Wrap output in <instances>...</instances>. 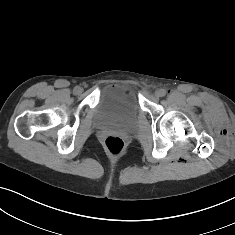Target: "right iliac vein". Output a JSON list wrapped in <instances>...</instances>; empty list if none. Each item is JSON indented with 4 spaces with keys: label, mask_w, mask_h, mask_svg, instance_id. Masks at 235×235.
<instances>
[{
    "label": "right iliac vein",
    "mask_w": 235,
    "mask_h": 235,
    "mask_svg": "<svg viewBox=\"0 0 235 235\" xmlns=\"http://www.w3.org/2000/svg\"><path fill=\"white\" fill-rule=\"evenodd\" d=\"M83 92V89L81 87H77L76 94H81Z\"/></svg>",
    "instance_id": "obj_1"
}]
</instances>
